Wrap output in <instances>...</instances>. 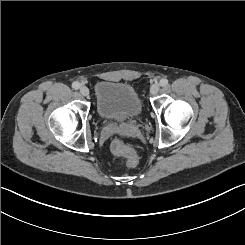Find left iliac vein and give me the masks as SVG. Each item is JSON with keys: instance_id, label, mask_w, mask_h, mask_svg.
Here are the masks:
<instances>
[{"instance_id": "1", "label": "left iliac vein", "mask_w": 245, "mask_h": 245, "mask_svg": "<svg viewBox=\"0 0 245 245\" xmlns=\"http://www.w3.org/2000/svg\"><path fill=\"white\" fill-rule=\"evenodd\" d=\"M160 90V86L158 84H153L150 88V93L152 96L156 95Z\"/></svg>"}]
</instances>
